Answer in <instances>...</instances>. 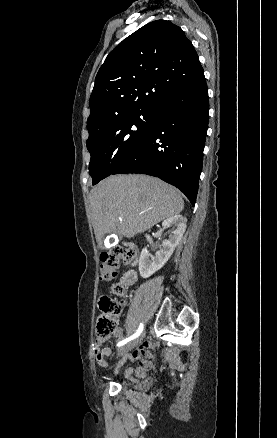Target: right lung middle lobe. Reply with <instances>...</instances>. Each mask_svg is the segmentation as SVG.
<instances>
[{"instance_id":"dd1d6c3e","label":"right lung middle lobe","mask_w":277,"mask_h":438,"mask_svg":"<svg viewBox=\"0 0 277 438\" xmlns=\"http://www.w3.org/2000/svg\"><path fill=\"white\" fill-rule=\"evenodd\" d=\"M155 109L115 116L88 128L87 149L91 154L89 174L93 185L113 174L147 135Z\"/></svg>"}]
</instances>
